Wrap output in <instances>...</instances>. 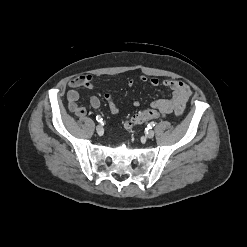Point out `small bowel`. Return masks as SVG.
<instances>
[{"label":"small bowel","instance_id":"c3829d8e","mask_svg":"<svg viewBox=\"0 0 247 247\" xmlns=\"http://www.w3.org/2000/svg\"><path fill=\"white\" fill-rule=\"evenodd\" d=\"M139 81L142 83L148 82L151 86L156 87L161 82L158 78H147L141 76ZM135 81L130 79L128 86H133ZM162 85L169 88L172 91L170 99H157L151 103L153 109L158 110L162 114H174L176 116L183 113L186 104L192 94L190 87L183 81L165 79L162 81ZM69 90L67 92V101L69 110L78 117L86 115V109L77 103L79 99L78 88L85 87L92 89L94 87V81L91 75H80L68 82ZM105 100L108 104L110 111L113 114L119 113V107L116 105L114 99L110 94H105ZM89 102L92 108L97 109L100 107L101 101L96 95H91ZM133 105L138 107L140 102L138 100L133 101Z\"/></svg>","mask_w":247,"mask_h":247}]
</instances>
